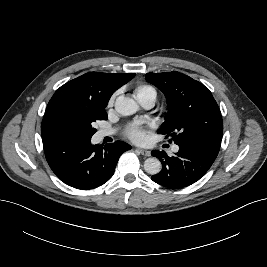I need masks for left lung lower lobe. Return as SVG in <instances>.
I'll return each mask as SVG.
<instances>
[{"instance_id": "obj_1", "label": "left lung lower lobe", "mask_w": 267, "mask_h": 267, "mask_svg": "<svg viewBox=\"0 0 267 267\" xmlns=\"http://www.w3.org/2000/svg\"><path fill=\"white\" fill-rule=\"evenodd\" d=\"M221 141L203 140L181 144L179 151L169 157L164 151H152L162 163V170L151 178L154 182L168 188H183L198 181L215 161Z\"/></svg>"}]
</instances>
